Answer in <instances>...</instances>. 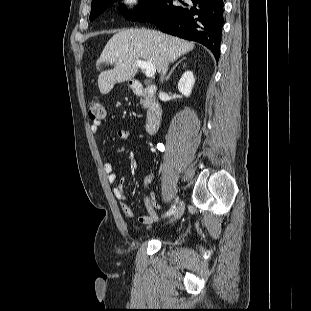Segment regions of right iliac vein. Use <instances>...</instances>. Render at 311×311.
<instances>
[{
  "mask_svg": "<svg viewBox=\"0 0 311 311\" xmlns=\"http://www.w3.org/2000/svg\"><path fill=\"white\" fill-rule=\"evenodd\" d=\"M184 208H185V207H184V203H183V201H181V202L178 204V206H177V208H176V210H175V212H174V214H173V217L171 218L170 222L180 219L181 216H182L183 213H184Z\"/></svg>",
  "mask_w": 311,
  "mask_h": 311,
  "instance_id": "1",
  "label": "right iliac vein"
}]
</instances>
